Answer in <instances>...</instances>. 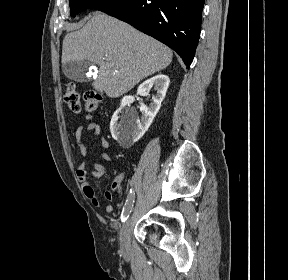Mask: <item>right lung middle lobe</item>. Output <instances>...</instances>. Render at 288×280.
I'll use <instances>...</instances> for the list:
<instances>
[{"mask_svg":"<svg viewBox=\"0 0 288 280\" xmlns=\"http://www.w3.org/2000/svg\"><path fill=\"white\" fill-rule=\"evenodd\" d=\"M116 1L118 0H69L71 16H76L77 13L84 10L106 6Z\"/></svg>","mask_w":288,"mask_h":280,"instance_id":"dd1d6c3e","label":"right lung middle lobe"}]
</instances>
